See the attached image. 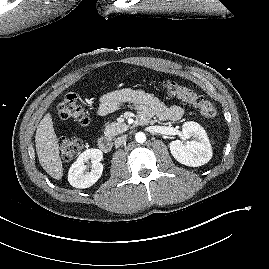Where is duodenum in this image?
<instances>
[{"label":"duodenum","mask_w":269,"mask_h":269,"mask_svg":"<svg viewBox=\"0 0 269 269\" xmlns=\"http://www.w3.org/2000/svg\"><path fill=\"white\" fill-rule=\"evenodd\" d=\"M97 146L102 152L109 153L112 150L113 144L110 138L103 136L98 139Z\"/></svg>","instance_id":"duodenum-1"}]
</instances>
